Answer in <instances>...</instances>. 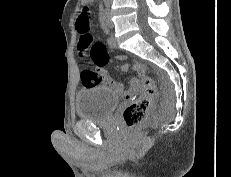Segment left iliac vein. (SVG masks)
Segmentation results:
<instances>
[{
    "instance_id": "1",
    "label": "left iliac vein",
    "mask_w": 231,
    "mask_h": 177,
    "mask_svg": "<svg viewBox=\"0 0 231 177\" xmlns=\"http://www.w3.org/2000/svg\"><path fill=\"white\" fill-rule=\"evenodd\" d=\"M105 24L108 28H113L114 24L111 20V14H110V9L107 8L106 12H105Z\"/></svg>"
}]
</instances>
